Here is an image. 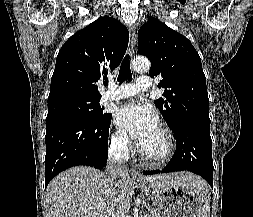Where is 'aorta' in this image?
<instances>
[{"instance_id":"1","label":"aorta","mask_w":253,"mask_h":217,"mask_svg":"<svg viewBox=\"0 0 253 217\" xmlns=\"http://www.w3.org/2000/svg\"><path fill=\"white\" fill-rule=\"evenodd\" d=\"M132 66L136 72H145L149 70L150 62L146 58H136L133 60Z\"/></svg>"}]
</instances>
